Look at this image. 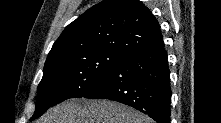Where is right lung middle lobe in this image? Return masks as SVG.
<instances>
[{
    "label": "right lung middle lobe",
    "mask_w": 221,
    "mask_h": 123,
    "mask_svg": "<svg viewBox=\"0 0 221 123\" xmlns=\"http://www.w3.org/2000/svg\"><path fill=\"white\" fill-rule=\"evenodd\" d=\"M127 55L100 48L68 54L46 62L38 86L36 110L31 120L38 118L55 104L94 92Z\"/></svg>",
    "instance_id": "1"
}]
</instances>
